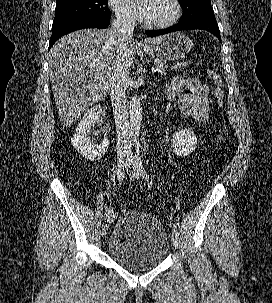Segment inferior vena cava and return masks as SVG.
<instances>
[{
    "instance_id": "obj_1",
    "label": "inferior vena cava",
    "mask_w": 272,
    "mask_h": 303,
    "mask_svg": "<svg viewBox=\"0 0 272 303\" xmlns=\"http://www.w3.org/2000/svg\"><path fill=\"white\" fill-rule=\"evenodd\" d=\"M135 21L129 14H118L111 28L116 38L117 56L111 78L110 97L116 124L117 157L119 160L132 159L131 134L126 107L125 92L129 85V65L126 61L127 45L133 37Z\"/></svg>"
}]
</instances>
